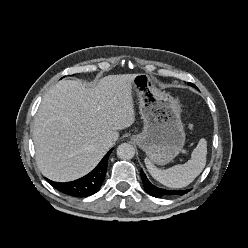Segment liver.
<instances>
[{
	"instance_id": "liver-1",
	"label": "liver",
	"mask_w": 248,
	"mask_h": 248,
	"mask_svg": "<svg viewBox=\"0 0 248 248\" xmlns=\"http://www.w3.org/2000/svg\"><path fill=\"white\" fill-rule=\"evenodd\" d=\"M136 74L108 75L93 88L61 80L43 97L33 124L36 162L42 174L57 182L78 179L109 150L106 138L135 121L132 97Z\"/></svg>"
}]
</instances>
